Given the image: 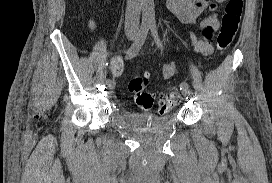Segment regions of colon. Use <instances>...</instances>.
Wrapping results in <instances>:
<instances>
[{"mask_svg": "<svg viewBox=\"0 0 272 183\" xmlns=\"http://www.w3.org/2000/svg\"><path fill=\"white\" fill-rule=\"evenodd\" d=\"M243 11V0H228L220 32L217 37V47L220 51L226 50L232 43L240 24ZM150 81L149 74L145 73L134 77L129 83V90L135 98L136 104L143 110H150L155 104L154 96L146 90ZM179 103L177 90H172L167 96L158 100L160 113H167Z\"/></svg>", "mask_w": 272, "mask_h": 183, "instance_id": "colon-1", "label": "colon"}]
</instances>
